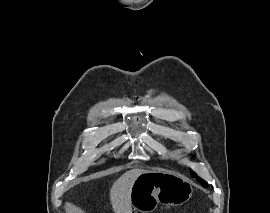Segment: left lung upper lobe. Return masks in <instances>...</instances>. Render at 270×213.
I'll use <instances>...</instances> for the list:
<instances>
[{"label":"left lung upper lobe","instance_id":"obj_1","mask_svg":"<svg viewBox=\"0 0 270 213\" xmlns=\"http://www.w3.org/2000/svg\"><path fill=\"white\" fill-rule=\"evenodd\" d=\"M193 177L197 179L203 186H207V183L203 181L200 177H198L193 171L190 172Z\"/></svg>","mask_w":270,"mask_h":213}]
</instances>
